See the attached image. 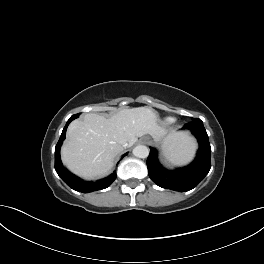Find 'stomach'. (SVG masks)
Returning <instances> with one entry per match:
<instances>
[{
    "label": "stomach",
    "mask_w": 264,
    "mask_h": 264,
    "mask_svg": "<svg viewBox=\"0 0 264 264\" xmlns=\"http://www.w3.org/2000/svg\"><path fill=\"white\" fill-rule=\"evenodd\" d=\"M169 144H170V143H168V142L165 141L164 146H165V145H169Z\"/></svg>",
    "instance_id": "stomach-1"
}]
</instances>
